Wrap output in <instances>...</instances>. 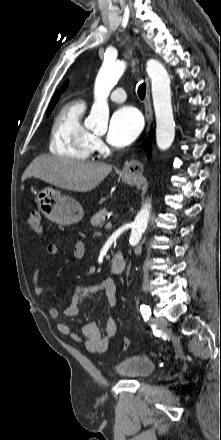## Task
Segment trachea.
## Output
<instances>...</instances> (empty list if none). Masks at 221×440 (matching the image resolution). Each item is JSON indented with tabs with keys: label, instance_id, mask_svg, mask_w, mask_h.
<instances>
[{
	"label": "trachea",
	"instance_id": "1",
	"mask_svg": "<svg viewBox=\"0 0 221 440\" xmlns=\"http://www.w3.org/2000/svg\"><path fill=\"white\" fill-rule=\"evenodd\" d=\"M145 94H146V84L142 83L138 87V96L141 100H143L145 98Z\"/></svg>",
	"mask_w": 221,
	"mask_h": 440
}]
</instances>
